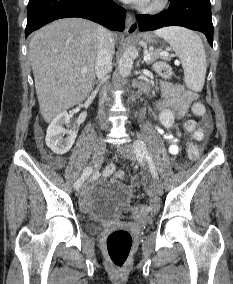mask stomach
<instances>
[{"instance_id":"0dacf381","label":"stomach","mask_w":233,"mask_h":284,"mask_svg":"<svg viewBox=\"0 0 233 284\" xmlns=\"http://www.w3.org/2000/svg\"><path fill=\"white\" fill-rule=\"evenodd\" d=\"M143 41L149 45H156L157 44V38L155 35L151 33H146L143 35Z\"/></svg>"}]
</instances>
